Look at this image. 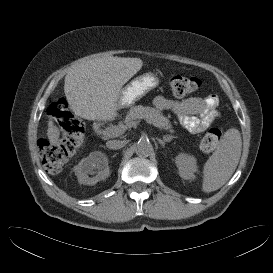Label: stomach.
<instances>
[{"mask_svg":"<svg viewBox=\"0 0 273 273\" xmlns=\"http://www.w3.org/2000/svg\"><path fill=\"white\" fill-rule=\"evenodd\" d=\"M158 84L159 78L152 72L136 77L122 88L119 97L120 108L134 105Z\"/></svg>","mask_w":273,"mask_h":273,"instance_id":"1","label":"stomach"}]
</instances>
